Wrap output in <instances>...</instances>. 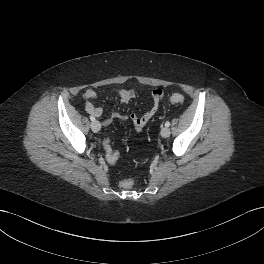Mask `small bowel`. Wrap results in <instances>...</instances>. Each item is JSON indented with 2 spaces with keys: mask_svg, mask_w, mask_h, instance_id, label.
<instances>
[{
  "mask_svg": "<svg viewBox=\"0 0 264 264\" xmlns=\"http://www.w3.org/2000/svg\"><path fill=\"white\" fill-rule=\"evenodd\" d=\"M116 93L118 94L120 101L122 103H128L131 99H133L136 95L135 89H119L116 90ZM96 97V93L89 89L85 91L84 98L86 100L85 107L88 113H90L92 116H95L97 118H101L103 114V110L99 106L93 105L90 100L94 99ZM163 98V91L161 89H154L151 93V105L149 109L141 116L136 115L135 113L130 114H121L118 112L112 113V115L109 118H106L103 120V125L108 126L112 123L114 119L117 120H130L133 124V126L136 129H142L146 126V124L150 121V119L158 112L160 103ZM106 159L109 163H115L118 159V154L115 158H111L110 156L106 155Z\"/></svg>",
  "mask_w": 264,
  "mask_h": 264,
  "instance_id": "1",
  "label": "small bowel"
}]
</instances>
